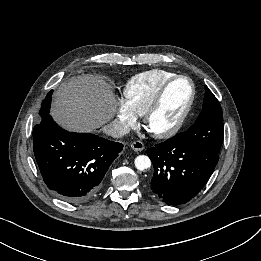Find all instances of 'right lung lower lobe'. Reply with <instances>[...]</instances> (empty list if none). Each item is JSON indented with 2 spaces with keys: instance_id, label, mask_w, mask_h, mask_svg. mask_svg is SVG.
Returning <instances> with one entry per match:
<instances>
[{
  "instance_id": "right-lung-lower-lobe-1",
  "label": "right lung lower lobe",
  "mask_w": 261,
  "mask_h": 261,
  "mask_svg": "<svg viewBox=\"0 0 261 261\" xmlns=\"http://www.w3.org/2000/svg\"><path fill=\"white\" fill-rule=\"evenodd\" d=\"M34 155L47 187L59 198L80 203L94 196L123 145L60 128L48 114L33 129Z\"/></svg>"
}]
</instances>
